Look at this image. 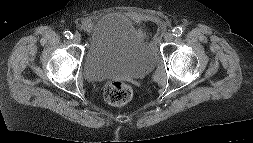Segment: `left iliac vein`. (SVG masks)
<instances>
[{
    "instance_id": "obj_1",
    "label": "left iliac vein",
    "mask_w": 253,
    "mask_h": 143,
    "mask_svg": "<svg viewBox=\"0 0 253 143\" xmlns=\"http://www.w3.org/2000/svg\"><path fill=\"white\" fill-rule=\"evenodd\" d=\"M173 38H174V35H173V33H171V32H167V33L164 35V40H165L166 42H171V41L173 40Z\"/></svg>"
}]
</instances>
